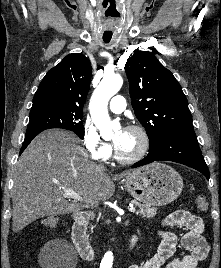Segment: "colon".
<instances>
[{
	"label": "colon",
	"instance_id": "obj_1",
	"mask_svg": "<svg viewBox=\"0 0 221 268\" xmlns=\"http://www.w3.org/2000/svg\"><path fill=\"white\" fill-rule=\"evenodd\" d=\"M195 205L202 212H206L209 207L208 201L204 196H197L195 198ZM42 224L45 228H55L58 225V218L56 216H47L42 220Z\"/></svg>",
	"mask_w": 221,
	"mask_h": 268
}]
</instances>
